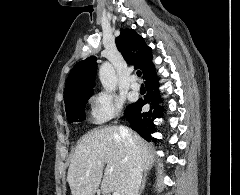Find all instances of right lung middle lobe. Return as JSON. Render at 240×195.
Masks as SVG:
<instances>
[{
    "instance_id": "right-lung-middle-lobe-1",
    "label": "right lung middle lobe",
    "mask_w": 240,
    "mask_h": 195,
    "mask_svg": "<svg viewBox=\"0 0 240 195\" xmlns=\"http://www.w3.org/2000/svg\"><path fill=\"white\" fill-rule=\"evenodd\" d=\"M88 98L89 97L76 99L65 106L69 123L80 122L86 119L84 109ZM133 106L134 104L127 106L125 113L129 111Z\"/></svg>"
}]
</instances>
